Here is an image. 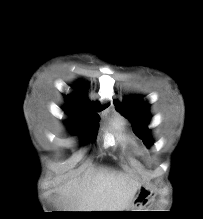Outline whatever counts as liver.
Segmentation results:
<instances>
[{"mask_svg": "<svg viewBox=\"0 0 203 219\" xmlns=\"http://www.w3.org/2000/svg\"><path fill=\"white\" fill-rule=\"evenodd\" d=\"M139 188L140 183L129 175L100 168L71 180L60 193L74 201L77 212L124 211Z\"/></svg>", "mask_w": 203, "mask_h": 219, "instance_id": "6515ba94", "label": "liver"}]
</instances>
